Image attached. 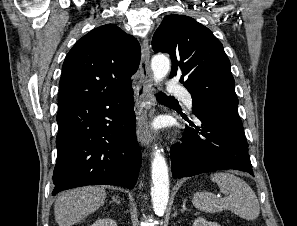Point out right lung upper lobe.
<instances>
[{
	"label": "right lung upper lobe",
	"mask_w": 297,
	"mask_h": 226,
	"mask_svg": "<svg viewBox=\"0 0 297 226\" xmlns=\"http://www.w3.org/2000/svg\"><path fill=\"white\" fill-rule=\"evenodd\" d=\"M141 50L137 40L114 24L97 27L67 54L59 84L58 104L101 94L132 90Z\"/></svg>",
	"instance_id": "obj_1"
}]
</instances>
